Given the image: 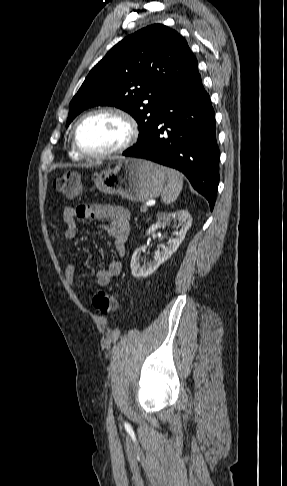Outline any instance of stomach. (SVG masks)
I'll list each match as a JSON object with an SVG mask.
<instances>
[{
  "instance_id": "obj_1",
  "label": "stomach",
  "mask_w": 287,
  "mask_h": 486,
  "mask_svg": "<svg viewBox=\"0 0 287 486\" xmlns=\"http://www.w3.org/2000/svg\"><path fill=\"white\" fill-rule=\"evenodd\" d=\"M112 167L95 178L96 188L109 195H119L131 201H147L164 189L166 174L163 167L138 158H113Z\"/></svg>"
}]
</instances>
